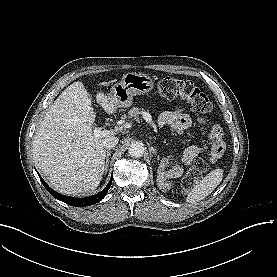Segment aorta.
Here are the masks:
<instances>
[{
  "mask_svg": "<svg viewBox=\"0 0 277 277\" xmlns=\"http://www.w3.org/2000/svg\"><path fill=\"white\" fill-rule=\"evenodd\" d=\"M145 151L144 144L140 141L132 142L128 148V153L131 157L139 158L143 156Z\"/></svg>",
  "mask_w": 277,
  "mask_h": 277,
  "instance_id": "aorta-1",
  "label": "aorta"
}]
</instances>
